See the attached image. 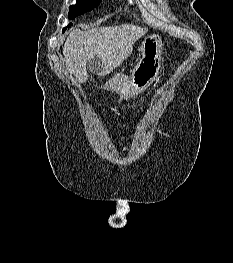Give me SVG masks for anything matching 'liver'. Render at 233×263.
<instances>
[{
    "instance_id": "1",
    "label": "liver",
    "mask_w": 233,
    "mask_h": 263,
    "mask_svg": "<svg viewBox=\"0 0 233 263\" xmlns=\"http://www.w3.org/2000/svg\"><path fill=\"white\" fill-rule=\"evenodd\" d=\"M145 29L134 24L98 27L87 31L73 29L63 46L66 70L74 82L83 83L88 74L86 64L97 58L96 73L105 76L122 65L130 55L135 41Z\"/></svg>"
}]
</instances>
